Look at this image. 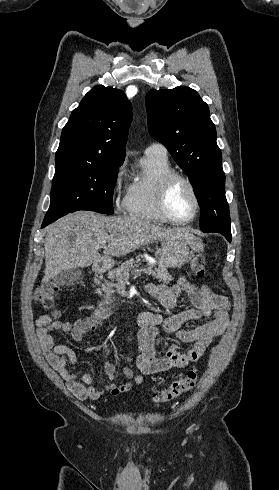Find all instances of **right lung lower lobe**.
Segmentation results:
<instances>
[{
	"instance_id": "98d812e1",
	"label": "right lung lower lobe",
	"mask_w": 279,
	"mask_h": 490,
	"mask_svg": "<svg viewBox=\"0 0 279 490\" xmlns=\"http://www.w3.org/2000/svg\"><path fill=\"white\" fill-rule=\"evenodd\" d=\"M47 225H48V223H43L42 224V228L45 227V226H47Z\"/></svg>"
}]
</instances>
